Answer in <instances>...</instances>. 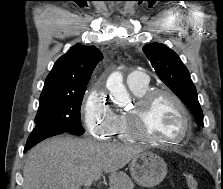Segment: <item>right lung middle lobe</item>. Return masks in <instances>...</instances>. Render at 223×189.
I'll return each instance as SVG.
<instances>
[{"label": "right lung middle lobe", "instance_id": "1", "mask_svg": "<svg viewBox=\"0 0 223 189\" xmlns=\"http://www.w3.org/2000/svg\"><path fill=\"white\" fill-rule=\"evenodd\" d=\"M86 88L75 92L41 94L35 128L32 132L58 130L84 134L80 108Z\"/></svg>", "mask_w": 223, "mask_h": 189}]
</instances>
